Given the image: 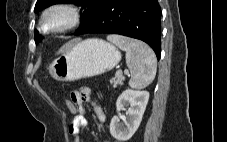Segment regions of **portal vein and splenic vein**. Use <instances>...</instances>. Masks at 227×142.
<instances>
[{
    "instance_id": "18ae733b",
    "label": "portal vein and splenic vein",
    "mask_w": 227,
    "mask_h": 142,
    "mask_svg": "<svg viewBox=\"0 0 227 142\" xmlns=\"http://www.w3.org/2000/svg\"><path fill=\"white\" fill-rule=\"evenodd\" d=\"M124 72H125V74H128V73H129V71H128V70H125ZM117 74H122V71H121V70H119V71L117 72Z\"/></svg>"
}]
</instances>
